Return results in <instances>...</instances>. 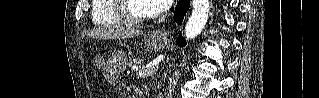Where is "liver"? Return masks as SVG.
<instances>
[{"label":"liver","instance_id":"6515ba94","mask_svg":"<svg viewBox=\"0 0 319 98\" xmlns=\"http://www.w3.org/2000/svg\"><path fill=\"white\" fill-rule=\"evenodd\" d=\"M142 32L133 28H124L121 26H108L96 28L86 35L95 39L110 40V39H126L140 35Z\"/></svg>","mask_w":319,"mask_h":98}]
</instances>
